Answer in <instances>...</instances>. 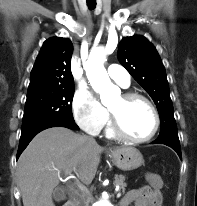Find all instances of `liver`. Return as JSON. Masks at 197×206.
Instances as JSON below:
<instances>
[{
	"label": "liver",
	"mask_w": 197,
	"mask_h": 206,
	"mask_svg": "<svg viewBox=\"0 0 197 206\" xmlns=\"http://www.w3.org/2000/svg\"><path fill=\"white\" fill-rule=\"evenodd\" d=\"M104 148L89 137L54 127L34 137L18 160L17 180L24 206H54L52 193L60 173L74 171L89 185Z\"/></svg>",
	"instance_id": "1"
}]
</instances>
